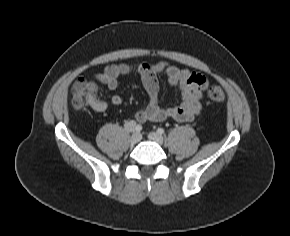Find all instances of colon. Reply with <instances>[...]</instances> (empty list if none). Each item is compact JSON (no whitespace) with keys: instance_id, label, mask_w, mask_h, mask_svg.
<instances>
[{"instance_id":"colon-1","label":"colon","mask_w":290,"mask_h":236,"mask_svg":"<svg viewBox=\"0 0 290 236\" xmlns=\"http://www.w3.org/2000/svg\"><path fill=\"white\" fill-rule=\"evenodd\" d=\"M98 88L89 79H79L71 87L72 105L74 109L80 111L91 105L97 98ZM207 97L212 102H222L225 100V92L218 85L210 86L207 89Z\"/></svg>"}]
</instances>
